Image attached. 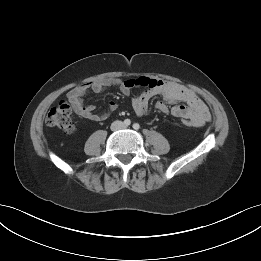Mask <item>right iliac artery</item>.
Wrapping results in <instances>:
<instances>
[{"mask_svg": "<svg viewBox=\"0 0 261 261\" xmlns=\"http://www.w3.org/2000/svg\"><path fill=\"white\" fill-rule=\"evenodd\" d=\"M131 124V121L129 119L124 120V125L129 126Z\"/></svg>", "mask_w": 261, "mask_h": 261, "instance_id": "right-iliac-artery-1", "label": "right iliac artery"}]
</instances>
